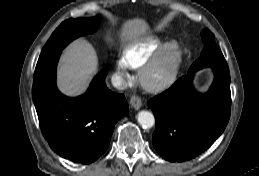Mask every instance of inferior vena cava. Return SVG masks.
<instances>
[{
	"label": "inferior vena cava",
	"instance_id": "602c4592",
	"mask_svg": "<svg viewBox=\"0 0 259 176\" xmlns=\"http://www.w3.org/2000/svg\"><path fill=\"white\" fill-rule=\"evenodd\" d=\"M111 82L112 85L119 90H125L128 87L127 81L119 75L112 76Z\"/></svg>",
	"mask_w": 259,
	"mask_h": 176
}]
</instances>
